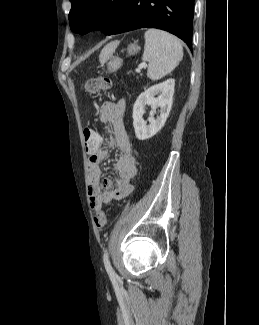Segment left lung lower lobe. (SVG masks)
Wrapping results in <instances>:
<instances>
[{
    "instance_id": "0a47b994",
    "label": "left lung lower lobe",
    "mask_w": 259,
    "mask_h": 325,
    "mask_svg": "<svg viewBox=\"0 0 259 325\" xmlns=\"http://www.w3.org/2000/svg\"><path fill=\"white\" fill-rule=\"evenodd\" d=\"M194 0H126L111 34L158 28L182 39L191 48Z\"/></svg>"
}]
</instances>
